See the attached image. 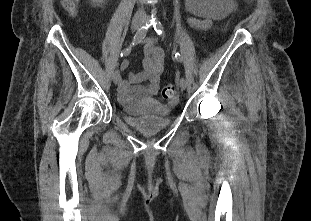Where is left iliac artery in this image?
<instances>
[{"label":"left iliac artery","mask_w":311,"mask_h":221,"mask_svg":"<svg viewBox=\"0 0 311 221\" xmlns=\"http://www.w3.org/2000/svg\"><path fill=\"white\" fill-rule=\"evenodd\" d=\"M153 27L158 35L164 36V28L162 23L158 19H153ZM175 58L177 61L182 62L181 55L177 52L175 53Z\"/></svg>","instance_id":"44dca946"}]
</instances>
